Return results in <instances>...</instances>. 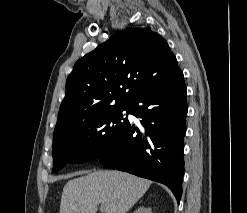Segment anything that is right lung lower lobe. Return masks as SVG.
Here are the masks:
<instances>
[{
	"label": "right lung lower lobe",
	"mask_w": 247,
	"mask_h": 213,
	"mask_svg": "<svg viewBox=\"0 0 247 213\" xmlns=\"http://www.w3.org/2000/svg\"><path fill=\"white\" fill-rule=\"evenodd\" d=\"M129 113L140 118V124L128 121L114 146L99 155L100 162L165 184L179 203L187 115V90L180 68L134 96L129 102Z\"/></svg>",
	"instance_id": "1"
}]
</instances>
